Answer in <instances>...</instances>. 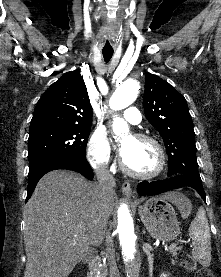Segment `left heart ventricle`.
I'll list each match as a JSON object with an SVG mask.
<instances>
[{
    "label": "left heart ventricle",
    "instance_id": "1",
    "mask_svg": "<svg viewBox=\"0 0 221 277\" xmlns=\"http://www.w3.org/2000/svg\"><path fill=\"white\" fill-rule=\"evenodd\" d=\"M122 158L127 167L137 173L153 172L159 162L156 148L149 142L138 141L134 137L122 142Z\"/></svg>",
    "mask_w": 221,
    "mask_h": 277
}]
</instances>
